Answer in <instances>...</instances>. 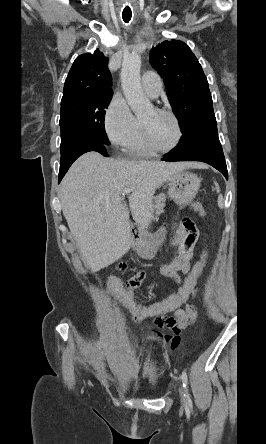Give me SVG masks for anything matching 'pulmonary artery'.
<instances>
[{"instance_id": "e3ab8cb5", "label": "pulmonary artery", "mask_w": 266, "mask_h": 444, "mask_svg": "<svg viewBox=\"0 0 266 444\" xmlns=\"http://www.w3.org/2000/svg\"><path fill=\"white\" fill-rule=\"evenodd\" d=\"M141 85L144 92L152 97L156 98L162 91V80L160 76L154 71H146L141 79Z\"/></svg>"}]
</instances>
